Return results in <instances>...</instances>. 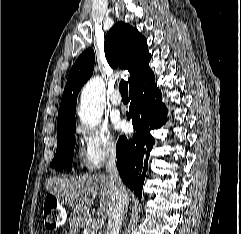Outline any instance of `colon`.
I'll list each match as a JSON object with an SVG mask.
<instances>
[{
  "instance_id": "obj_1",
  "label": "colon",
  "mask_w": 241,
  "mask_h": 234,
  "mask_svg": "<svg viewBox=\"0 0 241 234\" xmlns=\"http://www.w3.org/2000/svg\"><path fill=\"white\" fill-rule=\"evenodd\" d=\"M66 219L65 209L55 197L48 196L43 205V221L46 228L54 230L64 224Z\"/></svg>"
}]
</instances>
